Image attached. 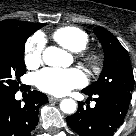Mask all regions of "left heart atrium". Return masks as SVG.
Returning <instances> with one entry per match:
<instances>
[{
  "mask_svg": "<svg viewBox=\"0 0 136 136\" xmlns=\"http://www.w3.org/2000/svg\"><path fill=\"white\" fill-rule=\"evenodd\" d=\"M38 89L53 95H64L86 83L84 74L78 69L46 68L35 76Z\"/></svg>",
  "mask_w": 136,
  "mask_h": 136,
  "instance_id": "1",
  "label": "left heart atrium"
}]
</instances>
